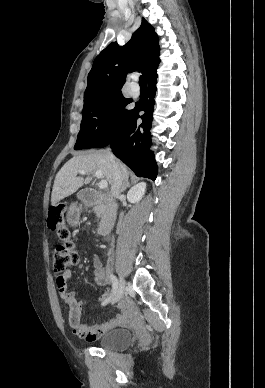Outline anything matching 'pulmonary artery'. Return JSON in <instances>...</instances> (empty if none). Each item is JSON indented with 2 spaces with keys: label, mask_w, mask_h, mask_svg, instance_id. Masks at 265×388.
<instances>
[{
  "label": "pulmonary artery",
  "mask_w": 265,
  "mask_h": 388,
  "mask_svg": "<svg viewBox=\"0 0 265 388\" xmlns=\"http://www.w3.org/2000/svg\"><path fill=\"white\" fill-rule=\"evenodd\" d=\"M130 88L132 89V90L130 91V94H131L132 96H136V95L138 94L137 89L139 88V85H138L137 83H132V84L130 85Z\"/></svg>",
  "instance_id": "e3ab8cb5"
}]
</instances>
